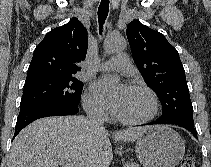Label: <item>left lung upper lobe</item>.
Wrapping results in <instances>:
<instances>
[{"instance_id":"left-lung-upper-lobe-1","label":"left lung upper lobe","mask_w":211,"mask_h":167,"mask_svg":"<svg viewBox=\"0 0 211 167\" xmlns=\"http://www.w3.org/2000/svg\"><path fill=\"white\" fill-rule=\"evenodd\" d=\"M126 34L136 66L161 101L163 114L159 119L194 124L185 70L177 50L163 34L138 20L128 24Z\"/></svg>"}]
</instances>
